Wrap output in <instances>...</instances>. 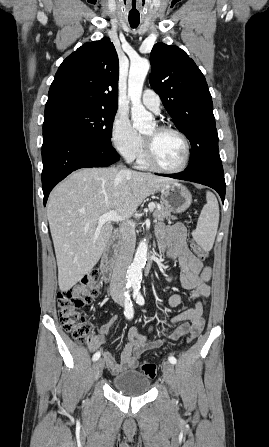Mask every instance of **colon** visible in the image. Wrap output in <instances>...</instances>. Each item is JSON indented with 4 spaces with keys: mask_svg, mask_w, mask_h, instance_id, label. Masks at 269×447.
<instances>
[{
    "mask_svg": "<svg viewBox=\"0 0 269 447\" xmlns=\"http://www.w3.org/2000/svg\"><path fill=\"white\" fill-rule=\"evenodd\" d=\"M191 251L200 260H206L209 257L208 251L196 242L191 243ZM99 288V278L91 273L84 275L73 288L60 290L57 293V311L62 327L79 344H86L95 340L86 308L97 302ZM194 339L195 334H190L187 343H192ZM138 370L144 376L153 379L157 375L158 368L155 363L145 362Z\"/></svg>",
    "mask_w": 269,
    "mask_h": 447,
    "instance_id": "colon-1",
    "label": "colon"
}]
</instances>
